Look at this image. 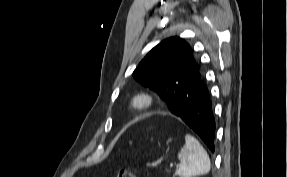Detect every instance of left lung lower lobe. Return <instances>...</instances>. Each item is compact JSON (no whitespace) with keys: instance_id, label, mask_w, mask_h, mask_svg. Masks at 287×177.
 <instances>
[{"instance_id":"left-lung-lower-lobe-1","label":"left lung lower lobe","mask_w":287,"mask_h":177,"mask_svg":"<svg viewBox=\"0 0 287 177\" xmlns=\"http://www.w3.org/2000/svg\"><path fill=\"white\" fill-rule=\"evenodd\" d=\"M169 109L192 128L212 152L215 151V120L203 78L192 87H184L176 102L171 101Z\"/></svg>"}]
</instances>
